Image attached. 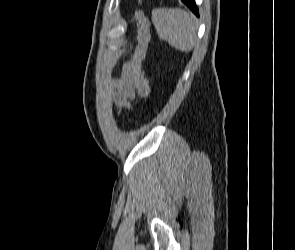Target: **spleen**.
Returning <instances> with one entry per match:
<instances>
[{
	"instance_id": "spleen-1",
	"label": "spleen",
	"mask_w": 295,
	"mask_h": 250,
	"mask_svg": "<svg viewBox=\"0 0 295 250\" xmlns=\"http://www.w3.org/2000/svg\"><path fill=\"white\" fill-rule=\"evenodd\" d=\"M152 22L158 36L171 47L182 52L191 51L197 41L195 19L183 9L157 8Z\"/></svg>"
}]
</instances>
